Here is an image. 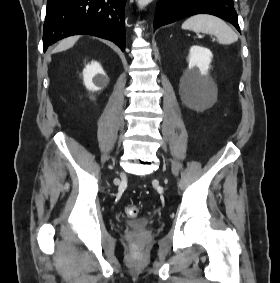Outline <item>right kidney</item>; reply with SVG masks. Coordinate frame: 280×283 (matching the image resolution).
Segmentation results:
<instances>
[{"label":"right kidney","mask_w":280,"mask_h":283,"mask_svg":"<svg viewBox=\"0 0 280 283\" xmlns=\"http://www.w3.org/2000/svg\"><path fill=\"white\" fill-rule=\"evenodd\" d=\"M84 85L89 91H99L107 83V76L101 65L92 61L83 70Z\"/></svg>","instance_id":"ca27d5eb"}]
</instances>
